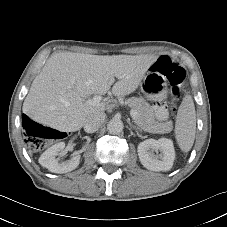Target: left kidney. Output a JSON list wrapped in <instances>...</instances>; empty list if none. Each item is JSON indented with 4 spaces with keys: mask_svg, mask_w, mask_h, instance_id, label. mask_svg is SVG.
Wrapping results in <instances>:
<instances>
[{
    "mask_svg": "<svg viewBox=\"0 0 227 227\" xmlns=\"http://www.w3.org/2000/svg\"><path fill=\"white\" fill-rule=\"evenodd\" d=\"M160 151L157 155L154 151ZM138 156L142 165L151 171H168L175 159L173 142L167 138L147 139L138 145Z\"/></svg>",
    "mask_w": 227,
    "mask_h": 227,
    "instance_id": "1",
    "label": "left kidney"
}]
</instances>
